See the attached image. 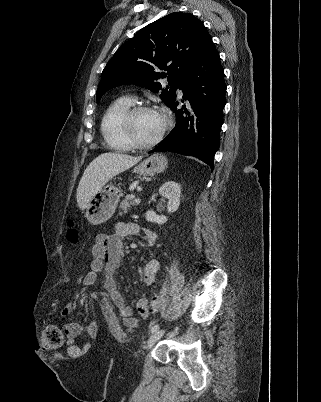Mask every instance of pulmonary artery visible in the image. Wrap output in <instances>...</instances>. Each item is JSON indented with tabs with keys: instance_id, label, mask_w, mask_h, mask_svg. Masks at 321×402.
<instances>
[{
	"instance_id": "pulmonary-artery-1",
	"label": "pulmonary artery",
	"mask_w": 321,
	"mask_h": 402,
	"mask_svg": "<svg viewBox=\"0 0 321 402\" xmlns=\"http://www.w3.org/2000/svg\"><path fill=\"white\" fill-rule=\"evenodd\" d=\"M179 92H180V93H182V91H181V90H180ZM127 99H129L130 101H132V99H131V98H127Z\"/></svg>"
}]
</instances>
